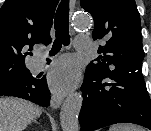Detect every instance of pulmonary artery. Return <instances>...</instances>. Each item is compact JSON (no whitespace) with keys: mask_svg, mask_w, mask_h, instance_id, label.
Here are the masks:
<instances>
[{"mask_svg":"<svg viewBox=\"0 0 151 131\" xmlns=\"http://www.w3.org/2000/svg\"><path fill=\"white\" fill-rule=\"evenodd\" d=\"M76 46L80 50L87 51L92 46V40L88 36H84V35L78 36L77 41H76ZM46 55H47V53H45V52L37 53L36 60L34 63L35 69H42L44 67V65L46 63Z\"/></svg>","mask_w":151,"mask_h":131,"instance_id":"1","label":"pulmonary artery"}]
</instances>
